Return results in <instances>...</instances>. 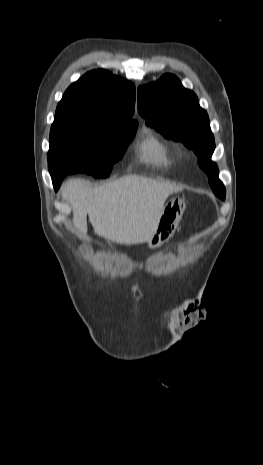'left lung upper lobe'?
Returning a JSON list of instances; mask_svg holds the SVG:
<instances>
[{"instance_id": "obj_1", "label": "left lung upper lobe", "mask_w": 263, "mask_h": 465, "mask_svg": "<svg viewBox=\"0 0 263 465\" xmlns=\"http://www.w3.org/2000/svg\"><path fill=\"white\" fill-rule=\"evenodd\" d=\"M138 112L165 137L193 149L199 162L211 158L215 142L208 115L197 96L185 89L176 76L165 74L157 82L140 86ZM209 182L215 195L224 200L226 190L218 175L209 176Z\"/></svg>"}]
</instances>
